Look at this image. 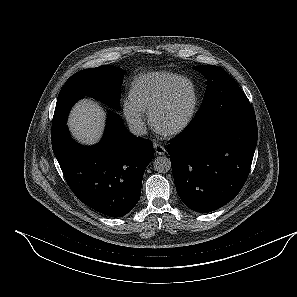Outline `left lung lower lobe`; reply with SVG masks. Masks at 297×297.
I'll use <instances>...</instances> for the list:
<instances>
[{
    "label": "left lung lower lobe",
    "mask_w": 297,
    "mask_h": 297,
    "mask_svg": "<svg viewBox=\"0 0 297 297\" xmlns=\"http://www.w3.org/2000/svg\"><path fill=\"white\" fill-rule=\"evenodd\" d=\"M257 122L248 102L205 108L172 139L168 153L176 190L190 209L214 211L237 196L252 164Z\"/></svg>",
    "instance_id": "obj_1"
}]
</instances>
